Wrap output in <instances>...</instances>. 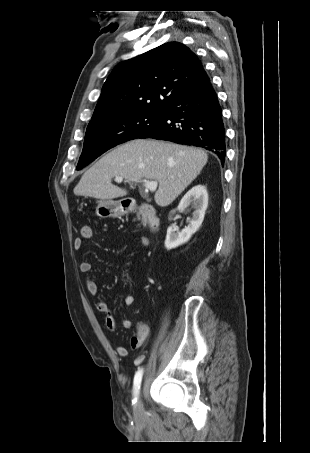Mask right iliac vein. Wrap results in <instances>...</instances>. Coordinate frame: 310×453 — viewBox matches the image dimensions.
Listing matches in <instances>:
<instances>
[{"instance_id": "right-iliac-vein-1", "label": "right iliac vein", "mask_w": 310, "mask_h": 453, "mask_svg": "<svg viewBox=\"0 0 310 453\" xmlns=\"http://www.w3.org/2000/svg\"><path fill=\"white\" fill-rule=\"evenodd\" d=\"M134 412H135L136 416H140L143 413V406H142V403H141L140 399H138V401H137V403L135 405Z\"/></svg>"}]
</instances>
